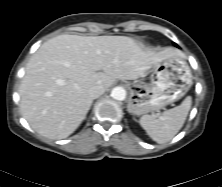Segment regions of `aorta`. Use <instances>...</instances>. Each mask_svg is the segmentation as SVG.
<instances>
[{"mask_svg": "<svg viewBox=\"0 0 222 187\" xmlns=\"http://www.w3.org/2000/svg\"><path fill=\"white\" fill-rule=\"evenodd\" d=\"M111 97L115 100L123 101L126 98V90L122 87H115L111 91Z\"/></svg>", "mask_w": 222, "mask_h": 187, "instance_id": "1", "label": "aorta"}]
</instances>
